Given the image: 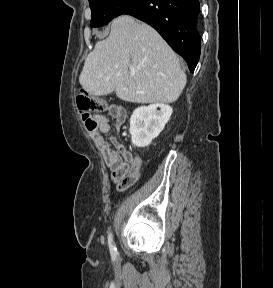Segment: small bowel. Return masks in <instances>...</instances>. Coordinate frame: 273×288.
<instances>
[{
  "label": "small bowel",
  "mask_w": 273,
  "mask_h": 288,
  "mask_svg": "<svg viewBox=\"0 0 273 288\" xmlns=\"http://www.w3.org/2000/svg\"><path fill=\"white\" fill-rule=\"evenodd\" d=\"M109 116L114 119L117 130H121L126 121V111L118 105H110L107 109ZM98 130L92 133L93 139L111 171V180L119 191H125L134 185L141 173L142 160L138 155L131 153L116 138L106 140L102 134L110 132L111 126L105 116H97Z\"/></svg>",
  "instance_id": "1"
}]
</instances>
